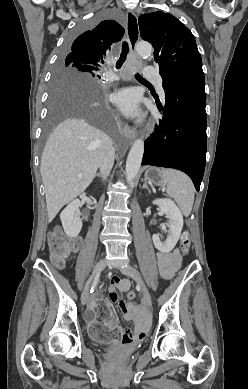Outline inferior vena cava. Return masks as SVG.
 Returning a JSON list of instances; mask_svg holds the SVG:
<instances>
[{
    "mask_svg": "<svg viewBox=\"0 0 248 389\" xmlns=\"http://www.w3.org/2000/svg\"><path fill=\"white\" fill-rule=\"evenodd\" d=\"M114 157L115 151L114 148L111 146L108 153L105 155L100 164V177H102L103 179H106L110 174V171L114 164Z\"/></svg>",
    "mask_w": 248,
    "mask_h": 389,
    "instance_id": "obj_1",
    "label": "inferior vena cava"
}]
</instances>
